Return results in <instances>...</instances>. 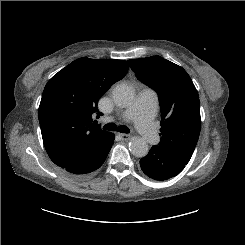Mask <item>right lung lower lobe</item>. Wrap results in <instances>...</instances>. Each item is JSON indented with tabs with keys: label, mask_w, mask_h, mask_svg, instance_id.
<instances>
[{
	"label": "right lung lower lobe",
	"mask_w": 245,
	"mask_h": 245,
	"mask_svg": "<svg viewBox=\"0 0 245 245\" xmlns=\"http://www.w3.org/2000/svg\"><path fill=\"white\" fill-rule=\"evenodd\" d=\"M114 142V135L108 133L100 137L74 163L64 167L73 176L84 177L98 169L105 161Z\"/></svg>",
	"instance_id": "obj_1"
}]
</instances>
